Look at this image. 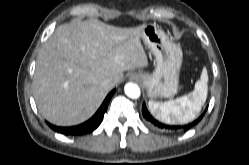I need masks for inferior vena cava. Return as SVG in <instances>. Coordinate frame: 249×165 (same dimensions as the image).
<instances>
[{"mask_svg": "<svg viewBox=\"0 0 249 165\" xmlns=\"http://www.w3.org/2000/svg\"><path fill=\"white\" fill-rule=\"evenodd\" d=\"M101 84L105 88H112L115 85L114 81L111 78L104 79Z\"/></svg>", "mask_w": 249, "mask_h": 165, "instance_id": "602c4592", "label": "inferior vena cava"}]
</instances>
